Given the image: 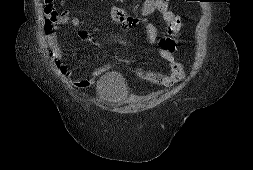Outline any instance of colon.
<instances>
[{
  "label": "colon",
  "instance_id": "5ec220e1",
  "mask_svg": "<svg viewBox=\"0 0 253 170\" xmlns=\"http://www.w3.org/2000/svg\"><path fill=\"white\" fill-rule=\"evenodd\" d=\"M51 3H53V0H49ZM49 18L46 20L45 29L47 31L51 30L53 27V23L57 20L58 16L60 15L54 7H52V10H50V13L48 14ZM175 27L179 26V22L175 21L173 23Z\"/></svg>",
  "mask_w": 253,
  "mask_h": 170
}]
</instances>
